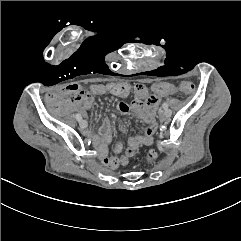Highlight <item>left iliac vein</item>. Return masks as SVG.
<instances>
[{"label": "left iliac vein", "mask_w": 241, "mask_h": 241, "mask_svg": "<svg viewBox=\"0 0 241 241\" xmlns=\"http://www.w3.org/2000/svg\"><path fill=\"white\" fill-rule=\"evenodd\" d=\"M171 116V111L169 109H165L162 113H161V119L163 121H167Z\"/></svg>", "instance_id": "obj_1"}]
</instances>
